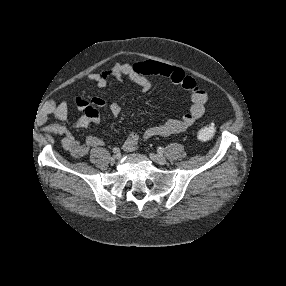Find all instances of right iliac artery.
I'll list each match as a JSON object with an SVG mask.
<instances>
[{
  "label": "right iliac artery",
  "instance_id": "82829eb1",
  "mask_svg": "<svg viewBox=\"0 0 286 286\" xmlns=\"http://www.w3.org/2000/svg\"><path fill=\"white\" fill-rule=\"evenodd\" d=\"M113 152H114V153H120V152H121V149H120V148H114V149H113Z\"/></svg>",
  "mask_w": 286,
  "mask_h": 286
}]
</instances>
